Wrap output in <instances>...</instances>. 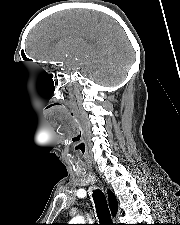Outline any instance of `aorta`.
<instances>
[{"label": "aorta", "instance_id": "aorta-1", "mask_svg": "<svg viewBox=\"0 0 180 225\" xmlns=\"http://www.w3.org/2000/svg\"><path fill=\"white\" fill-rule=\"evenodd\" d=\"M83 222L84 220L80 217H76L71 221L72 224H83Z\"/></svg>", "mask_w": 180, "mask_h": 225}]
</instances>
